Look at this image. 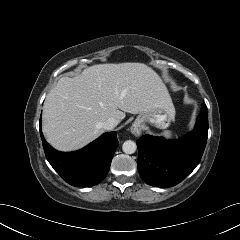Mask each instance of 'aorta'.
Wrapping results in <instances>:
<instances>
[{"label":"aorta","instance_id":"1","mask_svg":"<svg viewBox=\"0 0 240 240\" xmlns=\"http://www.w3.org/2000/svg\"><path fill=\"white\" fill-rule=\"evenodd\" d=\"M137 149L136 143L131 140H127L122 145V150L126 154H133Z\"/></svg>","mask_w":240,"mask_h":240}]
</instances>
